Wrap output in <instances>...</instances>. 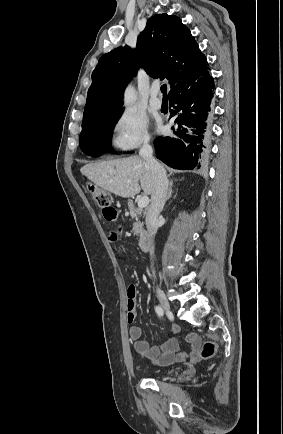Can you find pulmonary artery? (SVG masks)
<instances>
[{
    "label": "pulmonary artery",
    "instance_id": "obj_1",
    "mask_svg": "<svg viewBox=\"0 0 283 434\" xmlns=\"http://www.w3.org/2000/svg\"><path fill=\"white\" fill-rule=\"evenodd\" d=\"M160 87L158 84H154L150 90V105L152 108L158 110L162 107V101L159 98Z\"/></svg>",
    "mask_w": 283,
    "mask_h": 434
}]
</instances>
